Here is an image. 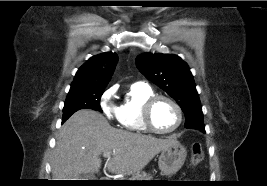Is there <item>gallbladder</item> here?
I'll use <instances>...</instances> for the list:
<instances>
[{"label":"gallbladder","mask_w":267,"mask_h":186,"mask_svg":"<svg viewBox=\"0 0 267 186\" xmlns=\"http://www.w3.org/2000/svg\"><path fill=\"white\" fill-rule=\"evenodd\" d=\"M95 176L91 173H87V174H83L81 176V180H91V179H94Z\"/></svg>","instance_id":"gallbladder-1"}]
</instances>
